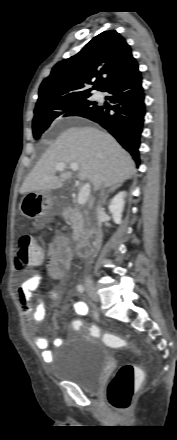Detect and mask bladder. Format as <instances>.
<instances>
[{"instance_id": "1", "label": "bladder", "mask_w": 177, "mask_h": 440, "mask_svg": "<svg viewBox=\"0 0 177 440\" xmlns=\"http://www.w3.org/2000/svg\"><path fill=\"white\" fill-rule=\"evenodd\" d=\"M63 348L67 352L54 361L53 377L72 382L88 392L98 391L107 368L106 349L93 338Z\"/></svg>"}]
</instances>
